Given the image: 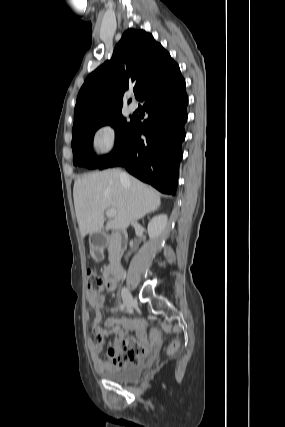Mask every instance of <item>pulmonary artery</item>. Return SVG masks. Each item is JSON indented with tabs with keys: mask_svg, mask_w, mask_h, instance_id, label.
Masks as SVG:
<instances>
[{
	"mask_svg": "<svg viewBox=\"0 0 285 427\" xmlns=\"http://www.w3.org/2000/svg\"><path fill=\"white\" fill-rule=\"evenodd\" d=\"M138 108V105L136 102H131L128 106V109L130 112H135Z\"/></svg>",
	"mask_w": 285,
	"mask_h": 427,
	"instance_id": "obj_1",
	"label": "pulmonary artery"
}]
</instances>
